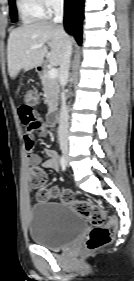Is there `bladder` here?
Wrapping results in <instances>:
<instances>
[{"instance_id": "31cf9c89", "label": "bladder", "mask_w": 134, "mask_h": 281, "mask_svg": "<svg viewBox=\"0 0 134 281\" xmlns=\"http://www.w3.org/2000/svg\"><path fill=\"white\" fill-rule=\"evenodd\" d=\"M87 222L75 208L57 202H39L29 211V236L49 249H60L80 236Z\"/></svg>"}]
</instances>
